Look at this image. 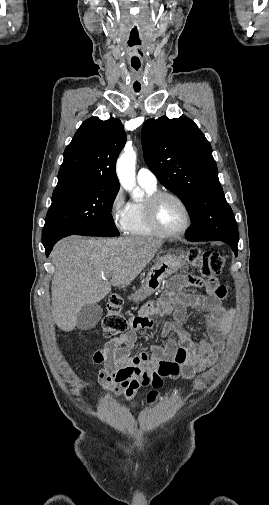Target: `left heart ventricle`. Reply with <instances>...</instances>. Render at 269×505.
<instances>
[{"label": "left heart ventricle", "instance_id": "left-heart-ventricle-1", "mask_svg": "<svg viewBox=\"0 0 269 505\" xmlns=\"http://www.w3.org/2000/svg\"><path fill=\"white\" fill-rule=\"evenodd\" d=\"M157 219L161 227L167 231H178L187 221L184 208L172 198L160 201L157 207Z\"/></svg>", "mask_w": 269, "mask_h": 505}]
</instances>
